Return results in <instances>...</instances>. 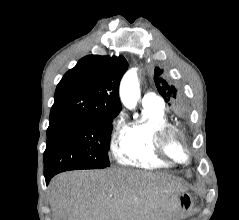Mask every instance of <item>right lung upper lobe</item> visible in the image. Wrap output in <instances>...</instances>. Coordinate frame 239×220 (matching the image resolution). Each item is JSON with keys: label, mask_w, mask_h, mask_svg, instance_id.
I'll return each mask as SVG.
<instances>
[{"label": "right lung upper lobe", "mask_w": 239, "mask_h": 220, "mask_svg": "<svg viewBox=\"0 0 239 220\" xmlns=\"http://www.w3.org/2000/svg\"><path fill=\"white\" fill-rule=\"evenodd\" d=\"M124 57L90 55L79 60L57 85L50 117L118 115Z\"/></svg>", "instance_id": "1"}]
</instances>
